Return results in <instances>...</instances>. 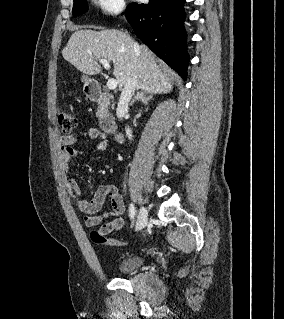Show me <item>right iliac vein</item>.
<instances>
[{"mask_svg": "<svg viewBox=\"0 0 284 319\" xmlns=\"http://www.w3.org/2000/svg\"><path fill=\"white\" fill-rule=\"evenodd\" d=\"M148 220V210L146 207H141L137 220H136V230H141L142 228L145 227L146 223Z\"/></svg>", "mask_w": 284, "mask_h": 319, "instance_id": "obj_1", "label": "right iliac vein"}]
</instances>
